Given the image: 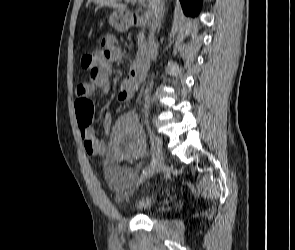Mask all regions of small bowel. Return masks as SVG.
Segmentation results:
<instances>
[{
	"label": "small bowel",
	"instance_id": "1",
	"mask_svg": "<svg viewBox=\"0 0 295 250\" xmlns=\"http://www.w3.org/2000/svg\"><path fill=\"white\" fill-rule=\"evenodd\" d=\"M94 67L90 72V81L79 84L76 88L78 99L90 98L100 93L105 94L110 90V74L112 62L122 59L123 52L117 45V39L113 35H106L101 40V49L93 54ZM139 86V80L135 77L133 70L124 79L118 93V101L130 100ZM103 126L109 131L112 126L110 113L103 116ZM85 151L89 155H103L107 148L100 141L93 128L80 130ZM110 152L115 161H122L131 157H138L143 152V132L139 125L137 116L133 112L121 115L112 128ZM140 167V164H137ZM136 180L134 168L126 166H115L108 171V182L110 187L120 195L125 194Z\"/></svg>",
	"mask_w": 295,
	"mask_h": 250
}]
</instances>
